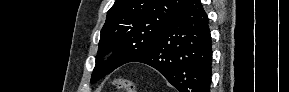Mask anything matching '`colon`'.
Returning a JSON list of instances; mask_svg holds the SVG:
<instances>
[{"label":"colon","mask_w":289,"mask_h":92,"mask_svg":"<svg viewBox=\"0 0 289 92\" xmlns=\"http://www.w3.org/2000/svg\"><path fill=\"white\" fill-rule=\"evenodd\" d=\"M115 87L120 91L137 92L136 85L133 81L128 79H121L115 83Z\"/></svg>","instance_id":"1"}]
</instances>
